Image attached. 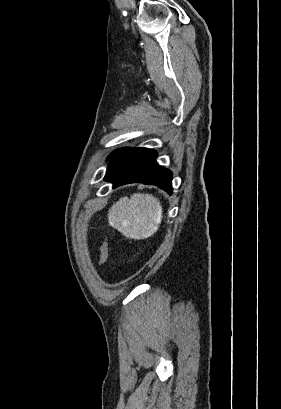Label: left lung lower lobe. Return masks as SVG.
I'll return each instance as SVG.
<instances>
[{
  "label": "left lung lower lobe",
  "instance_id": "1",
  "mask_svg": "<svg viewBox=\"0 0 281 409\" xmlns=\"http://www.w3.org/2000/svg\"><path fill=\"white\" fill-rule=\"evenodd\" d=\"M157 154L147 148H131L116 156L109 164L105 180L113 188L123 184L141 182L156 185L172 193V173L155 161Z\"/></svg>",
  "mask_w": 281,
  "mask_h": 409
}]
</instances>
